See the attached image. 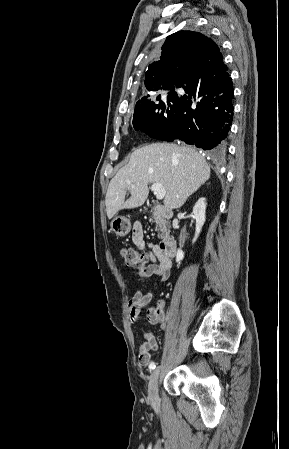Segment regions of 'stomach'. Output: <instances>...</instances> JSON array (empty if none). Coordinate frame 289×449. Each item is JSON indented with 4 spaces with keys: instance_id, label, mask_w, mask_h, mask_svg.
<instances>
[{
    "instance_id": "1",
    "label": "stomach",
    "mask_w": 289,
    "mask_h": 449,
    "mask_svg": "<svg viewBox=\"0 0 289 449\" xmlns=\"http://www.w3.org/2000/svg\"><path fill=\"white\" fill-rule=\"evenodd\" d=\"M111 229L117 236L124 237L131 230L130 220L124 216H116L111 222Z\"/></svg>"
}]
</instances>
